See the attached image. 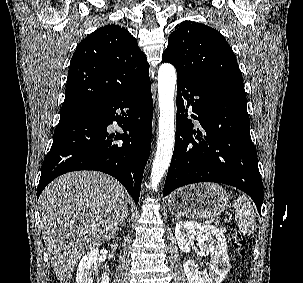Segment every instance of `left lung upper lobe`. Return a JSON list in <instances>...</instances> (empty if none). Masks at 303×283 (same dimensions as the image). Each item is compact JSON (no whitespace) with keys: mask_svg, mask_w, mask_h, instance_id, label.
<instances>
[{"mask_svg":"<svg viewBox=\"0 0 303 283\" xmlns=\"http://www.w3.org/2000/svg\"><path fill=\"white\" fill-rule=\"evenodd\" d=\"M162 62L176 68L177 76L199 82H225L244 90L242 74L232 48L216 30L183 21L168 38Z\"/></svg>","mask_w":303,"mask_h":283,"instance_id":"5c2ea615","label":"left lung upper lobe"}]
</instances>
